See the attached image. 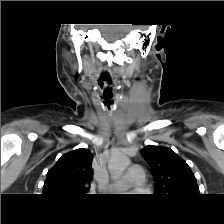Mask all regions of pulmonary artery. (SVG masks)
<instances>
[{
    "label": "pulmonary artery",
    "mask_w": 224,
    "mask_h": 224,
    "mask_svg": "<svg viewBox=\"0 0 224 224\" xmlns=\"http://www.w3.org/2000/svg\"><path fill=\"white\" fill-rule=\"evenodd\" d=\"M144 182L145 174L143 169L138 165H132L121 178L113 180L107 187V190L117 192L129 187H142Z\"/></svg>",
    "instance_id": "e3ab8cb5"
}]
</instances>
